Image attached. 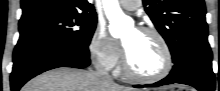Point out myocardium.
<instances>
[{
  "instance_id": "obj_1",
  "label": "myocardium",
  "mask_w": 220,
  "mask_h": 91,
  "mask_svg": "<svg viewBox=\"0 0 220 91\" xmlns=\"http://www.w3.org/2000/svg\"><path fill=\"white\" fill-rule=\"evenodd\" d=\"M137 30L142 33H145V34L152 35L158 41V43L163 51L164 65H163L162 69L154 75L138 74L131 69L125 48L123 47V49H122V70H123V73L128 78H131L133 80L140 81V82L152 83V82L160 81L163 78H165L166 76H168L172 70L173 56H172L171 49H170L166 39L164 38V36L156 29L151 28V27H139Z\"/></svg>"
}]
</instances>
